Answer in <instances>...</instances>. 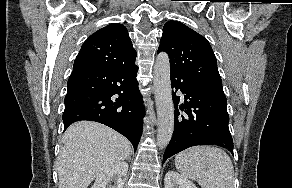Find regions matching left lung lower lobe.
I'll use <instances>...</instances> for the list:
<instances>
[{
  "mask_svg": "<svg viewBox=\"0 0 292 188\" xmlns=\"http://www.w3.org/2000/svg\"><path fill=\"white\" fill-rule=\"evenodd\" d=\"M174 88L175 129L166 148L165 160L195 145H218L233 153V140L229 132V116L223 90L203 85L178 73L170 72ZM184 95V102L176 92Z\"/></svg>",
  "mask_w": 292,
  "mask_h": 188,
  "instance_id": "left-lung-lower-lobe-1",
  "label": "left lung lower lobe"
}]
</instances>
